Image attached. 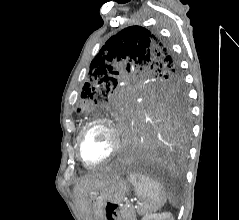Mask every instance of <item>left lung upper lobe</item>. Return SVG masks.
Returning <instances> with one entry per match:
<instances>
[{
	"instance_id": "left-lung-upper-lobe-1",
	"label": "left lung upper lobe",
	"mask_w": 239,
	"mask_h": 220,
	"mask_svg": "<svg viewBox=\"0 0 239 220\" xmlns=\"http://www.w3.org/2000/svg\"><path fill=\"white\" fill-rule=\"evenodd\" d=\"M137 68L149 81L123 80L124 67ZM132 110L183 111L188 100L183 75L169 45L155 32L131 26L109 38L92 60L77 112L115 119Z\"/></svg>"
}]
</instances>
